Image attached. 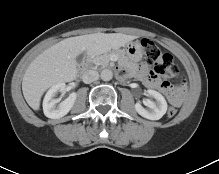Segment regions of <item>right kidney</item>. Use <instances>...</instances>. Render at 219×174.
<instances>
[{
	"instance_id": "ca27d5eb",
	"label": "right kidney",
	"mask_w": 219,
	"mask_h": 174,
	"mask_svg": "<svg viewBox=\"0 0 219 174\" xmlns=\"http://www.w3.org/2000/svg\"><path fill=\"white\" fill-rule=\"evenodd\" d=\"M65 84L58 83L53 85L46 93L43 100V111L46 117L51 119H59L65 116L73 107L77 94L72 93L68 98L59 103V99H56L55 96L58 92L65 91ZM57 103H59L57 105Z\"/></svg>"
}]
</instances>
